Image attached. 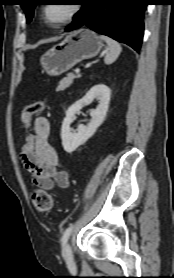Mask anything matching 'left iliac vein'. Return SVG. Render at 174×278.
<instances>
[{"instance_id":"obj_1","label":"left iliac vein","mask_w":174,"mask_h":278,"mask_svg":"<svg viewBox=\"0 0 174 278\" xmlns=\"http://www.w3.org/2000/svg\"><path fill=\"white\" fill-rule=\"evenodd\" d=\"M66 262L70 266L74 263L73 252L70 244L65 246Z\"/></svg>"}]
</instances>
